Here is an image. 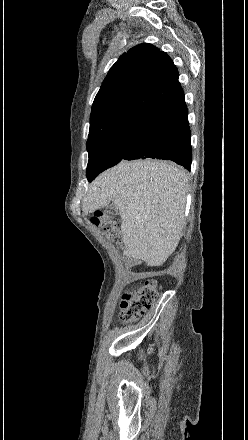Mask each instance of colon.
Wrapping results in <instances>:
<instances>
[{
	"label": "colon",
	"instance_id": "obj_1",
	"mask_svg": "<svg viewBox=\"0 0 248 440\" xmlns=\"http://www.w3.org/2000/svg\"><path fill=\"white\" fill-rule=\"evenodd\" d=\"M91 222L103 235L116 244H121L117 221L102 213L95 214ZM159 293L157 281L146 280L140 287L125 293L120 303V320L129 324L141 318L153 305Z\"/></svg>",
	"mask_w": 248,
	"mask_h": 440
}]
</instances>
